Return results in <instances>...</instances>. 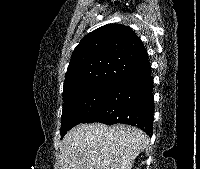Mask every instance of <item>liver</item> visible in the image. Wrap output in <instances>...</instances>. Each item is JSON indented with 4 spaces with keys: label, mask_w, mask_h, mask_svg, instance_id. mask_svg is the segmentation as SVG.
<instances>
[{
    "label": "liver",
    "mask_w": 200,
    "mask_h": 169,
    "mask_svg": "<svg viewBox=\"0 0 200 169\" xmlns=\"http://www.w3.org/2000/svg\"><path fill=\"white\" fill-rule=\"evenodd\" d=\"M147 144L148 137L136 127L80 124L62 140L59 169H132Z\"/></svg>",
    "instance_id": "obj_1"
}]
</instances>
